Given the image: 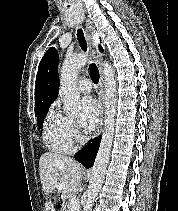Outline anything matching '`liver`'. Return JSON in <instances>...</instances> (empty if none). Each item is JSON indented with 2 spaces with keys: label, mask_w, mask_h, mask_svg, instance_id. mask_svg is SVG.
<instances>
[{
  "label": "liver",
  "mask_w": 178,
  "mask_h": 211,
  "mask_svg": "<svg viewBox=\"0 0 178 211\" xmlns=\"http://www.w3.org/2000/svg\"><path fill=\"white\" fill-rule=\"evenodd\" d=\"M40 180L46 198L45 210L56 211L52 195L58 191L56 185L64 184L61 190L63 201L61 211H65L64 202L73 197L82 180V168L73 159L53 152L44 153L39 160ZM59 192V191H58Z\"/></svg>",
  "instance_id": "liver-1"
}]
</instances>
